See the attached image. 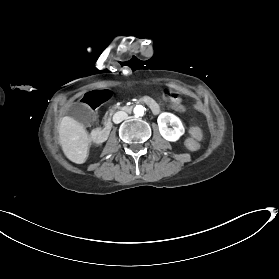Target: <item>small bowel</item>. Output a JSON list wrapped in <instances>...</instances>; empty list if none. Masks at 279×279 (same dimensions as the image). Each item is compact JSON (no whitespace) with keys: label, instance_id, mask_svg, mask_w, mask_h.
Wrapping results in <instances>:
<instances>
[{"label":"small bowel","instance_id":"1","mask_svg":"<svg viewBox=\"0 0 279 279\" xmlns=\"http://www.w3.org/2000/svg\"><path fill=\"white\" fill-rule=\"evenodd\" d=\"M165 97L172 104H177L180 101V93L176 90L168 91Z\"/></svg>","mask_w":279,"mask_h":279}]
</instances>
